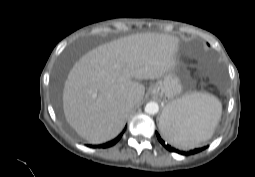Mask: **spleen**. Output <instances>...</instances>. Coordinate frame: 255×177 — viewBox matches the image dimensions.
Segmentation results:
<instances>
[{
	"label": "spleen",
	"mask_w": 255,
	"mask_h": 177,
	"mask_svg": "<svg viewBox=\"0 0 255 177\" xmlns=\"http://www.w3.org/2000/svg\"><path fill=\"white\" fill-rule=\"evenodd\" d=\"M221 102L213 95L195 92L169 104L167 121L161 125L166 140L183 149L211 138L221 117Z\"/></svg>",
	"instance_id": "spleen-1"
}]
</instances>
